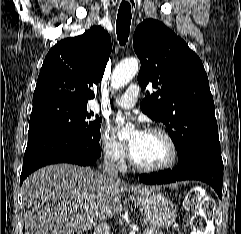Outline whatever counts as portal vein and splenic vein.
<instances>
[{
	"mask_svg": "<svg viewBox=\"0 0 241 234\" xmlns=\"http://www.w3.org/2000/svg\"><path fill=\"white\" fill-rule=\"evenodd\" d=\"M145 234H151V231L146 232Z\"/></svg>",
	"mask_w": 241,
	"mask_h": 234,
	"instance_id": "obj_1",
	"label": "portal vein and splenic vein"
}]
</instances>
